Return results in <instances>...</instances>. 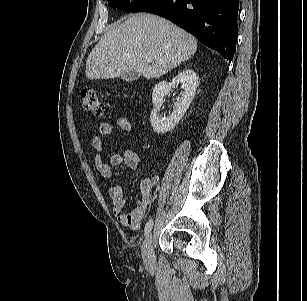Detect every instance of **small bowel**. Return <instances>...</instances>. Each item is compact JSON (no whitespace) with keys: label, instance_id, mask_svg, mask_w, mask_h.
Wrapping results in <instances>:
<instances>
[{"label":"small bowel","instance_id":"c3829d8e","mask_svg":"<svg viewBox=\"0 0 307 301\" xmlns=\"http://www.w3.org/2000/svg\"><path fill=\"white\" fill-rule=\"evenodd\" d=\"M114 129L121 132H130L132 130L131 120L126 116H121L116 120L115 127L103 122L99 125V134L92 136L91 145L96 151L95 166L98 172L106 179L112 178V168L125 165L128 169H136L140 163V156L134 150H125L113 154L109 162L103 160L105 149L103 137L110 136ZM158 178L155 174H146L139 182V196H137L128 211H124L126 205V196L120 185H113L109 188L108 194L113 204V213L117 216L119 223L129 227L132 230H138L145 217L146 209L152 199V190L156 185Z\"/></svg>","mask_w":307,"mask_h":301}]
</instances>
